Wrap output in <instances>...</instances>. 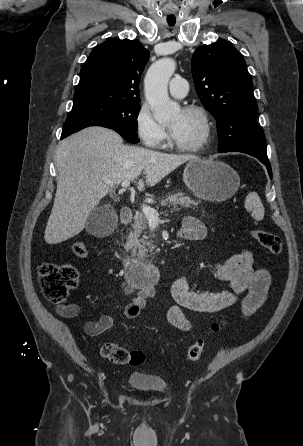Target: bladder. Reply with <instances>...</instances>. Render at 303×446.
<instances>
[{"label":"bladder","instance_id":"obj_1","mask_svg":"<svg viewBox=\"0 0 303 446\" xmlns=\"http://www.w3.org/2000/svg\"><path fill=\"white\" fill-rule=\"evenodd\" d=\"M128 385L139 391L161 393L168 389L165 378L145 372H133L128 378Z\"/></svg>","mask_w":303,"mask_h":446}]
</instances>
